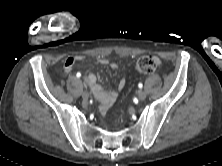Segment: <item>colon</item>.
<instances>
[{
	"label": "colon",
	"mask_w": 222,
	"mask_h": 166,
	"mask_svg": "<svg viewBox=\"0 0 222 166\" xmlns=\"http://www.w3.org/2000/svg\"><path fill=\"white\" fill-rule=\"evenodd\" d=\"M158 67V60L152 56H142L136 62V69L144 74L155 72Z\"/></svg>",
	"instance_id": "colon-1"
}]
</instances>
